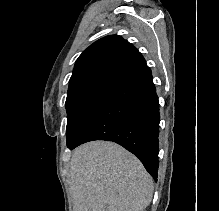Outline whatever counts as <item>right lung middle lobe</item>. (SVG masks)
Listing matches in <instances>:
<instances>
[{
	"instance_id": "right-lung-middle-lobe-1",
	"label": "right lung middle lobe",
	"mask_w": 219,
	"mask_h": 211,
	"mask_svg": "<svg viewBox=\"0 0 219 211\" xmlns=\"http://www.w3.org/2000/svg\"><path fill=\"white\" fill-rule=\"evenodd\" d=\"M111 89H113L112 86H97L66 99L68 147L75 142L86 123Z\"/></svg>"
}]
</instances>
